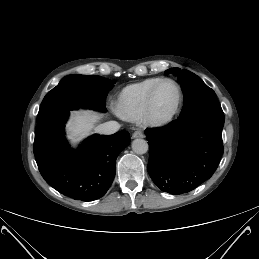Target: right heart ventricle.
Masks as SVG:
<instances>
[{"label": "right heart ventricle", "mask_w": 259, "mask_h": 259, "mask_svg": "<svg viewBox=\"0 0 259 259\" xmlns=\"http://www.w3.org/2000/svg\"><path fill=\"white\" fill-rule=\"evenodd\" d=\"M161 78L152 77L127 85L117 100L118 112L126 119L135 120L144 113L148 95Z\"/></svg>", "instance_id": "obj_1"}]
</instances>
